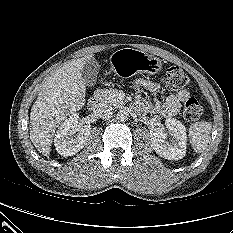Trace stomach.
<instances>
[{"label":"stomach","instance_id":"stomach-1","mask_svg":"<svg viewBox=\"0 0 233 233\" xmlns=\"http://www.w3.org/2000/svg\"><path fill=\"white\" fill-rule=\"evenodd\" d=\"M110 64L112 71L122 77L136 73L156 74L162 69V63L158 58L133 48L115 51L110 57Z\"/></svg>","mask_w":233,"mask_h":233}]
</instances>
